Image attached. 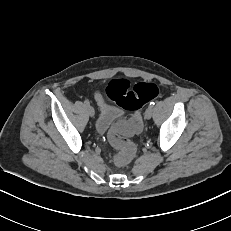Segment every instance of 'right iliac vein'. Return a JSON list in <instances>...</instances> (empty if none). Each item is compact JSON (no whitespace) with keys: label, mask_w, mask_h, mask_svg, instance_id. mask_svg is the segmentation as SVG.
<instances>
[{"label":"right iliac vein","mask_w":231,"mask_h":231,"mask_svg":"<svg viewBox=\"0 0 231 231\" xmlns=\"http://www.w3.org/2000/svg\"><path fill=\"white\" fill-rule=\"evenodd\" d=\"M87 111H88V113H89V115L91 116V117H94V115H95V111H94V108L92 107V106H87Z\"/></svg>","instance_id":"right-iliac-vein-1"}]
</instances>
